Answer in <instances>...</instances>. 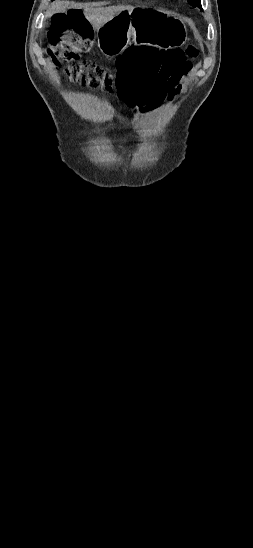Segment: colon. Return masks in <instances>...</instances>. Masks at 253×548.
I'll return each mask as SVG.
<instances>
[{"mask_svg": "<svg viewBox=\"0 0 253 548\" xmlns=\"http://www.w3.org/2000/svg\"><path fill=\"white\" fill-rule=\"evenodd\" d=\"M54 37L48 54L56 65L67 63L63 72L73 82L111 93L120 91L135 114H149L154 105H167L170 96L179 99L182 83L191 69L190 60L198 55L195 46L185 50L157 51L152 47L129 48L118 60L117 70L80 59L89 48L92 29L80 10H69L52 17ZM160 59V60H155Z\"/></svg>", "mask_w": 253, "mask_h": 548, "instance_id": "obj_1", "label": "colon"}]
</instances>
